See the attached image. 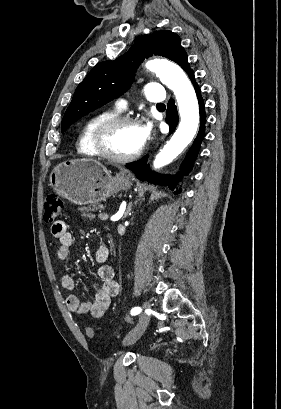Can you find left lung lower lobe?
<instances>
[{"label": "left lung lower lobe", "instance_id": "obj_1", "mask_svg": "<svg viewBox=\"0 0 281 409\" xmlns=\"http://www.w3.org/2000/svg\"><path fill=\"white\" fill-rule=\"evenodd\" d=\"M189 78L191 79L197 96H198V101H199V107H200V129L198 132V135L196 137V139L193 142V145L191 146L190 150L188 151V153L186 154V157L181 165V171L186 174L188 173L191 168L192 165L198 155L199 152V148H200V144L202 142V139L205 135L204 131H205V122H206V115H205V109H204V102L203 99L201 97V91L199 89V86L197 85V83L195 82L194 79V72L190 71L188 73ZM166 121L169 124V128H170V134L175 130L177 123H178V113H177V109L176 106L174 104V101L171 99L169 100L168 104H167V112H166ZM126 168L130 169L131 171H133L136 176L141 179V180H147L151 183H155V184H160V185H169V187L171 189H173L174 186V180L172 176H168V175H160L154 172H151L149 170V166H147V157L141 159L140 161H137L135 163L132 164H128L126 165ZM177 177L181 178L182 175L179 172L177 174ZM177 192H175L176 194Z\"/></svg>", "mask_w": 281, "mask_h": 409}]
</instances>
